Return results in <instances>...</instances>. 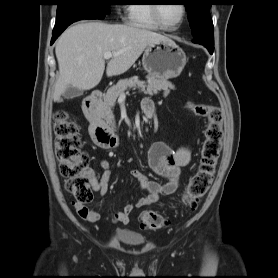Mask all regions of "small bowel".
<instances>
[{
	"instance_id": "c3829d8e",
	"label": "small bowel",
	"mask_w": 278,
	"mask_h": 278,
	"mask_svg": "<svg viewBox=\"0 0 278 278\" xmlns=\"http://www.w3.org/2000/svg\"><path fill=\"white\" fill-rule=\"evenodd\" d=\"M143 110L147 117H152L155 113V106L151 100H144ZM191 160V152L188 147H181L178 150H171L166 144L156 142L151 145L148 151V163L152 170L165 178V183L151 181L138 169H133L131 175L140 183L143 190L147 192L145 197L138 199L133 204H127L114 214L113 222L128 224L130 214L135 208L151 205L158 201L160 196L172 195L180 185L182 168ZM103 172L99 180L94 178L93 190L101 196H106L109 192V181L111 177V165L108 160L100 161ZM77 213L85 220L96 222L100 219V214L85 205L73 203Z\"/></svg>"
}]
</instances>
